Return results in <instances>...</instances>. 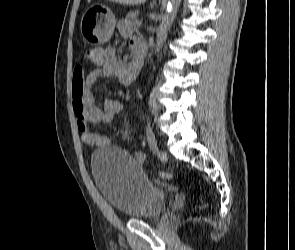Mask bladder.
I'll use <instances>...</instances> for the list:
<instances>
[{
    "mask_svg": "<svg viewBox=\"0 0 295 250\" xmlns=\"http://www.w3.org/2000/svg\"><path fill=\"white\" fill-rule=\"evenodd\" d=\"M94 182L104 199L132 219H154L165 208L167 195L124 150L104 147L92 154Z\"/></svg>",
    "mask_w": 295,
    "mask_h": 250,
    "instance_id": "obj_1",
    "label": "bladder"
}]
</instances>
